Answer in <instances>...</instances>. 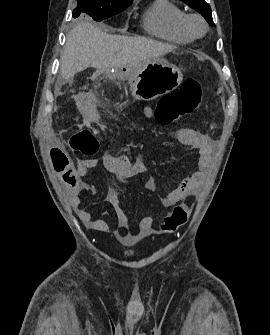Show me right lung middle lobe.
Wrapping results in <instances>:
<instances>
[{"instance_id": "obj_1", "label": "right lung middle lobe", "mask_w": 270, "mask_h": 335, "mask_svg": "<svg viewBox=\"0 0 270 335\" xmlns=\"http://www.w3.org/2000/svg\"><path fill=\"white\" fill-rule=\"evenodd\" d=\"M102 4L97 0H78L77 8L73 10V18L82 17L102 21L124 11L130 4Z\"/></svg>"}]
</instances>
